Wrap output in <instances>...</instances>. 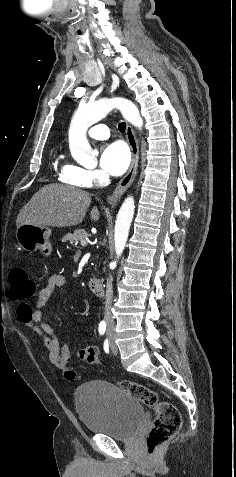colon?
Returning a JSON list of instances; mask_svg holds the SVG:
<instances>
[{"mask_svg": "<svg viewBox=\"0 0 236 477\" xmlns=\"http://www.w3.org/2000/svg\"><path fill=\"white\" fill-rule=\"evenodd\" d=\"M9 281L10 298L20 301L18 312L23 313L29 310L30 305L27 300L35 296L37 287L27 270L21 266L14 267L9 273ZM78 357L91 364L99 363L98 356L90 346L80 349ZM64 377L68 381H74L76 373L72 369H67ZM118 384L140 402L154 409L155 420L146 438L147 451L153 454L178 433L181 427L180 413L174 405L160 401L157 393L146 386L128 380H121Z\"/></svg>", "mask_w": 236, "mask_h": 477, "instance_id": "5ec220e1", "label": "colon"}]
</instances>
